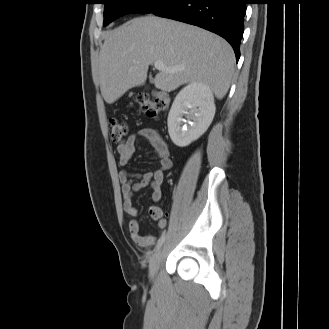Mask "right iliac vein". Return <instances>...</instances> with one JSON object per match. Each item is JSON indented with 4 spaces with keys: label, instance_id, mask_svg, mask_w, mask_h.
Masks as SVG:
<instances>
[{
    "label": "right iliac vein",
    "instance_id": "obj_1",
    "mask_svg": "<svg viewBox=\"0 0 329 329\" xmlns=\"http://www.w3.org/2000/svg\"><path fill=\"white\" fill-rule=\"evenodd\" d=\"M162 248H159L156 253L152 256L151 260H150V264H149V278L152 280L155 278L160 262H161V258H162Z\"/></svg>",
    "mask_w": 329,
    "mask_h": 329
}]
</instances>
